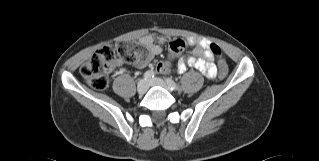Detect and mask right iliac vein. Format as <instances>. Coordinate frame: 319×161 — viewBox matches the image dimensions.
Instances as JSON below:
<instances>
[{"label": "right iliac vein", "mask_w": 319, "mask_h": 161, "mask_svg": "<svg viewBox=\"0 0 319 161\" xmlns=\"http://www.w3.org/2000/svg\"><path fill=\"white\" fill-rule=\"evenodd\" d=\"M148 89V82L147 80L145 79H141L139 82H138V85H137V92L138 94L142 95L144 94Z\"/></svg>", "instance_id": "63e3f726"}]
</instances>
